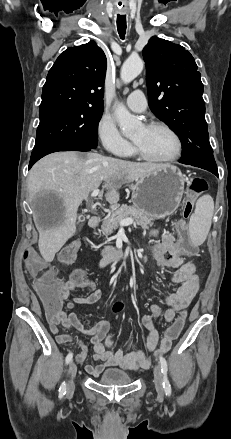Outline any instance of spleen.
<instances>
[{
  "mask_svg": "<svg viewBox=\"0 0 231 439\" xmlns=\"http://www.w3.org/2000/svg\"><path fill=\"white\" fill-rule=\"evenodd\" d=\"M214 212V201L208 194L200 197L196 202L194 214L189 222V233L194 245H201L210 230Z\"/></svg>",
  "mask_w": 231,
  "mask_h": 439,
  "instance_id": "obj_1",
  "label": "spleen"
}]
</instances>
